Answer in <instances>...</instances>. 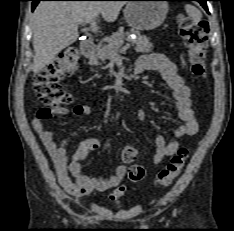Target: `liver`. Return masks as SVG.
Returning a JSON list of instances; mask_svg holds the SVG:
<instances>
[{
	"mask_svg": "<svg viewBox=\"0 0 234 231\" xmlns=\"http://www.w3.org/2000/svg\"><path fill=\"white\" fill-rule=\"evenodd\" d=\"M123 1H42L33 13V72H40L66 47L76 42L78 26L99 14L114 22Z\"/></svg>",
	"mask_w": 234,
	"mask_h": 231,
	"instance_id": "obj_1",
	"label": "liver"
}]
</instances>
